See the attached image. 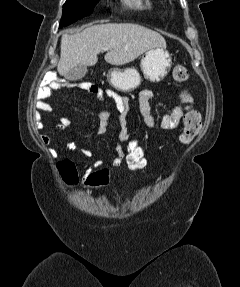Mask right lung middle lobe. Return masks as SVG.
I'll use <instances>...</instances> for the list:
<instances>
[{
	"instance_id": "right-lung-middle-lobe-1",
	"label": "right lung middle lobe",
	"mask_w": 240,
	"mask_h": 287,
	"mask_svg": "<svg viewBox=\"0 0 240 287\" xmlns=\"http://www.w3.org/2000/svg\"><path fill=\"white\" fill-rule=\"evenodd\" d=\"M100 0H66L63 5V14L60 28L67 26L80 18L90 15Z\"/></svg>"
}]
</instances>
